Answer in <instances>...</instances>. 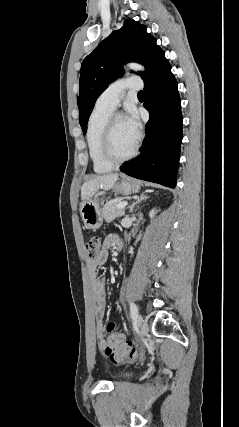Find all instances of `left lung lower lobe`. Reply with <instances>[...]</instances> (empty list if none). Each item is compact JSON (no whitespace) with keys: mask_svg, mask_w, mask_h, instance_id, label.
<instances>
[{"mask_svg":"<svg viewBox=\"0 0 239 427\" xmlns=\"http://www.w3.org/2000/svg\"><path fill=\"white\" fill-rule=\"evenodd\" d=\"M144 107L150 114L141 154L123 163L121 171L137 179L175 188L183 118L177 81L165 62L144 81Z\"/></svg>","mask_w":239,"mask_h":427,"instance_id":"obj_1","label":"left lung lower lobe"}]
</instances>
